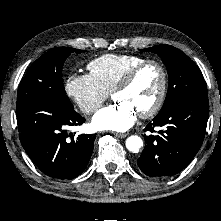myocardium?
I'll return each mask as SVG.
<instances>
[{"mask_svg": "<svg viewBox=\"0 0 221 221\" xmlns=\"http://www.w3.org/2000/svg\"><path fill=\"white\" fill-rule=\"evenodd\" d=\"M150 65L156 66L160 71V75H161L160 89H159V93L154 104L149 109L143 112H140L138 114L139 117L141 118H150L156 115L164 104L166 93H167V88H168V74H167V70L165 66L157 60H145L144 62L132 68L121 79V81L117 84V86L113 90V96H114L115 93L125 90L128 87H130L133 84V82L136 80L138 75L141 73V71Z\"/></svg>", "mask_w": 221, "mask_h": 221, "instance_id": "myocardium-1", "label": "myocardium"}]
</instances>
